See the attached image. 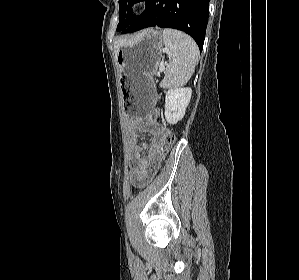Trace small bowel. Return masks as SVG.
<instances>
[{
  "mask_svg": "<svg viewBox=\"0 0 299 280\" xmlns=\"http://www.w3.org/2000/svg\"><path fill=\"white\" fill-rule=\"evenodd\" d=\"M129 129L132 151L131 180L134 184L140 185L151 179L161 165L165 129L160 123L149 120H131ZM140 132L153 134L149 144L139 142L138 133Z\"/></svg>",
  "mask_w": 299,
  "mask_h": 280,
  "instance_id": "c3829d8e",
  "label": "small bowel"
}]
</instances>
